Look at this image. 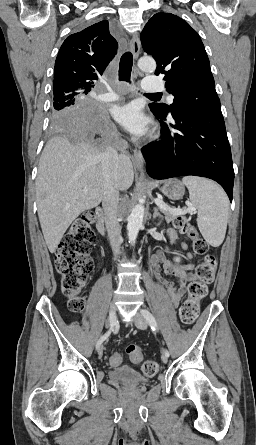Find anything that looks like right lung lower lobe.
<instances>
[{"label": "right lung lower lobe", "mask_w": 256, "mask_h": 445, "mask_svg": "<svg viewBox=\"0 0 256 445\" xmlns=\"http://www.w3.org/2000/svg\"><path fill=\"white\" fill-rule=\"evenodd\" d=\"M76 123L85 125L82 136L90 139L98 137L101 144L113 145L120 150L125 148V143L117 137L115 128L102 106L87 102L79 111Z\"/></svg>", "instance_id": "1"}]
</instances>
